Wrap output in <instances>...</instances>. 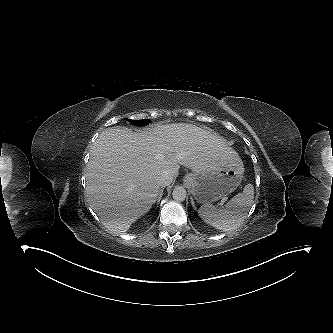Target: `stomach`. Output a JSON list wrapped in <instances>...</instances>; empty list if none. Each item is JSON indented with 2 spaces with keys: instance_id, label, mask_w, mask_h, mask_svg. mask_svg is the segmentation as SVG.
Listing matches in <instances>:
<instances>
[{
  "instance_id": "stomach-1",
  "label": "stomach",
  "mask_w": 333,
  "mask_h": 333,
  "mask_svg": "<svg viewBox=\"0 0 333 333\" xmlns=\"http://www.w3.org/2000/svg\"><path fill=\"white\" fill-rule=\"evenodd\" d=\"M243 173V163L239 159L220 168L193 171L184 180L198 203L210 204L233 192L240 185Z\"/></svg>"
}]
</instances>
